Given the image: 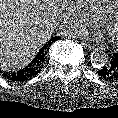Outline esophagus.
Listing matches in <instances>:
<instances>
[{
	"label": "esophagus",
	"instance_id": "obj_1",
	"mask_svg": "<svg viewBox=\"0 0 118 118\" xmlns=\"http://www.w3.org/2000/svg\"><path fill=\"white\" fill-rule=\"evenodd\" d=\"M81 44L83 45V47L87 50H93L95 47L91 44H88V43H84V42H81Z\"/></svg>",
	"mask_w": 118,
	"mask_h": 118
}]
</instances>
